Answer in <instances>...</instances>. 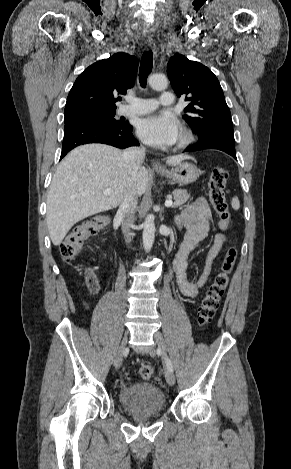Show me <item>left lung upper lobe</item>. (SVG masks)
<instances>
[{
  "instance_id": "1",
  "label": "left lung upper lobe",
  "mask_w": 291,
  "mask_h": 469,
  "mask_svg": "<svg viewBox=\"0 0 291 469\" xmlns=\"http://www.w3.org/2000/svg\"><path fill=\"white\" fill-rule=\"evenodd\" d=\"M167 74L178 97L186 95L191 103L184 109V120L199 139L212 134L233 136L230 110L217 77L203 64L175 54L167 65Z\"/></svg>"
}]
</instances>
